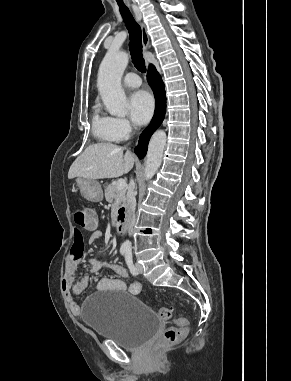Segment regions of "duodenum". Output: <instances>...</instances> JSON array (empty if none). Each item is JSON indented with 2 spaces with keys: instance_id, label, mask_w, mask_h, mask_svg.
I'll return each instance as SVG.
<instances>
[{
  "instance_id": "obj_1",
  "label": "duodenum",
  "mask_w": 291,
  "mask_h": 381,
  "mask_svg": "<svg viewBox=\"0 0 291 381\" xmlns=\"http://www.w3.org/2000/svg\"><path fill=\"white\" fill-rule=\"evenodd\" d=\"M115 227L119 234H124L126 232L128 227L126 207H121L118 210L116 220H115Z\"/></svg>"
}]
</instances>
